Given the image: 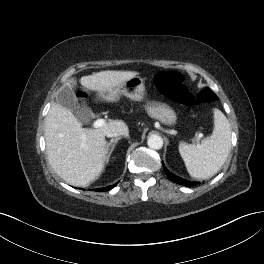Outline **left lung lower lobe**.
I'll return each instance as SVG.
<instances>
[{"label":"left lung lower lobe","mask_w":264,"mask_h":264,"mask_svg":"<svg viewBox=\"0 0 264 264\" xmlns=\"http://www.w3.org/2000/svg\"><path fill=\"white\" fill-rule=\"evenodd\" d=\"M163 168H164V171H165V173L167 174V176H168L172 181H174V182H176V183H178V184H182V185H185V186H194V185L197 184V183H195V182H190V181H188V180H185V179H183V178H181V177L175 176L174 174L170 173V172L166 169V167L164 166V164H163Z\"/></svg>","instance_id":"obj_1"}]
</instances>
